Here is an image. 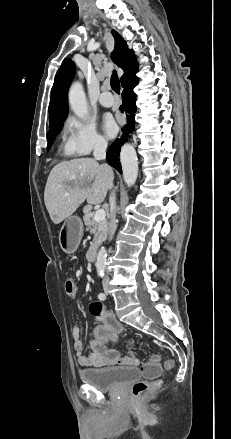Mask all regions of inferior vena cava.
I'll return each mask as SVG.
<instances>
[{
  "label": "inferior vena cava",
  "instance_id": "1",
  "mask_svg": "<svg viewBox=\"0 0 231 439\" xmlns=\"http://www.w3.org/2000/svg\"><path fill=\"white\" fill-rule=\"evenodd\" d=\"M106 148L107 143L105 141L99 140L96 142L94 147V158L96 160H104L106 157ZM113 184L110 185V189L112 188ZM110 203V223H109V237L110 239L113 238L114 233L116 231L117 225H116V198L115 194L111 193L109 198ZM105 280H108V276H105Z\"/></svg>",
  "mask_w": 231,
  "mask_h": 439
}]
</instances>
